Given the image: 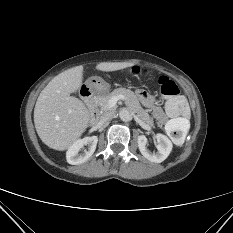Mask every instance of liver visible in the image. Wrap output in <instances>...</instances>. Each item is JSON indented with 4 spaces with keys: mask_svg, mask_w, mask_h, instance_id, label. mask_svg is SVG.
<instances>
[{
    "mask_svg": "<svg viewBox=\"0 0 233 233\" xmlns=\"http://www.w3.org/2000/svg\"><path fill=\"white\" fill-rule=\"evenodd\" d=\"M128 62H101L96 69L117 71L133 66ZM83 81V66H76L55 76L41 91L34 108L38 136L48 147L64 151L86 131L90 113L76 97Z\"/></svg>",
    "mask_w": 233,
    "mask_h": 233,
    "instance_id": "1",
    "label": "liver"
}]
</instances>
